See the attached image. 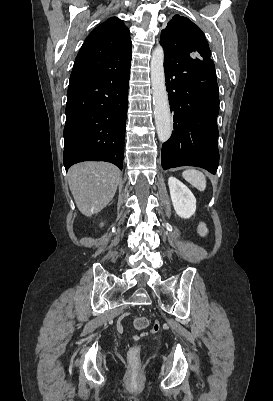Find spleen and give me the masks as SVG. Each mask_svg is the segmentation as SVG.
Here are the masks:
<instances>
[{"instance_id":"spleen-1","label":"spleen","mask_w":273,"mask_h":401,"mask_svg":"<svg viewBox=\"0 0 273 401\" xmlns=\"http://www.w3.org/2000/svg\"><path fill=\"white\" fill-rule=\"evenodd\" d=\"M182 176H184L185 180H188L190 184L196 186L198 190H205L206 188V178L203 172L200 170H195V168H188V170H184L182 172Z\"/></svg>"}]
</instances>
